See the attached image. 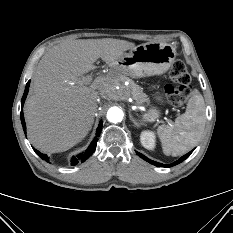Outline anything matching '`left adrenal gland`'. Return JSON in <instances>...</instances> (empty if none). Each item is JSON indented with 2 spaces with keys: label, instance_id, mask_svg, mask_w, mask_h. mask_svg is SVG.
<instances>
[{
  "label": "left adrenal gland",
  "instance_id": "left-adrenal-gland-1",
  "mask_svg": "<svg viewBox=\"0 0 233 233\" xmlns=\"http://www.w3.org/2000/svg\"><path fill=\"white\" fill-rule=\"evenodd\" d=\"M129 117H130V120H132V122L134 123V126H136V127L140 126V124L133 118V116L131 115V113H129Z\"/></svg>",
  "mask_w": 233,
  "mask_h": 233
}]
</instances>
